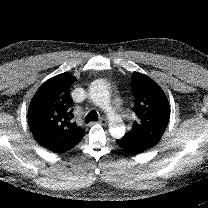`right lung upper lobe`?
I'll return each mask as SVG.
<instances>
[{"mask_svg":"<svg viewBox=\"0 0 208 208\" xmlns=\"http://www.w3.org/2000/svg\"><path fill=\"white\" fill-rule=\"evenodd\" d=\"M75 77L68 73L44 82L31 100L28 123L36 141L52 152H60L80 142L85 130L73 121L70 87Z\"/></svg>","mask_w":208,"mask_h":208,"instance_id":"cb5924a9","label":"right lung upper lobe"}]
</instances>
